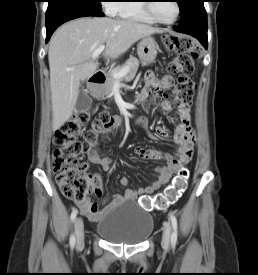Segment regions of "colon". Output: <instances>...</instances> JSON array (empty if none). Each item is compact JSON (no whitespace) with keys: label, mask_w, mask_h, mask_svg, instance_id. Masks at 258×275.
<instances>
[{"label":"colon","mask_w":258,"mask_h":275,"mask_svg":"<svg viewBox=\"0 0 258 275\" xmlns=\"http://www.w3.org/2000/svg\"><path fill=\"white\" fill-rule=\"evenodd\" d=\"M167 51L177 54L168 64V71L178 74V82L167 93H156L150 103H162L180 106L190 102L195 90V83L190 78L194 72L195 62L200 57L198 47L188 36H163ZM91 117L90 110L76 112L55 134L53 151V172L62 194L75 201H84L93 190V175L88 172V165L81 161V155L88 152L103 132L117 128L118 120L107 113L99 114L88 129L85 125ZM84 131V133H83ZM83 133V139L80 137ZM190 172L182 167L171 183L154 196L143 195L138 199L144 210H164L174 204L185 191Z\"/></svg>","instance_id":"colon-1"}]
</instances>
